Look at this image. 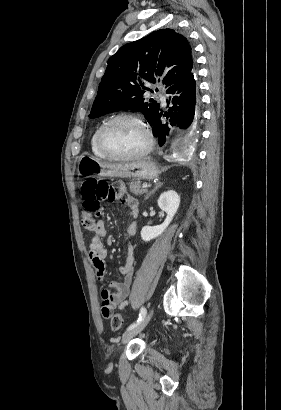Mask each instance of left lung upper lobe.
Wrapping results in <instances>:
<instances>
[{"instance_id":"obj_1","label":"left lung upper lobe","mask_w":281,"mask_h":410,"mask_svg":"<svg viewBox=\"0 0 281 410\" xmlns=\"http://www.w3.org/2000/svg\"><path fill=\"white\" fill-rule=\"evenodd\" d=\"M195 71L187 39L172 29L154 31L122 46L108 60L89 118L121 109L143 112L151 124L160 105L143 97L146 82H162L167 88ZM152 93L153 91L150 90Z\"/></svg>"}]
</instances>
